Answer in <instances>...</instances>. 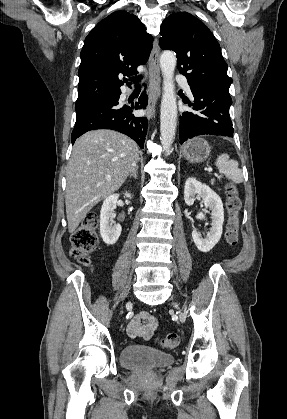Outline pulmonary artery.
Instances as JSON below:
<instances>
[{"label": "pulmonary artery", "instance_id": "1", "mask_svg": "<svg viewBox=\"0 0 287 419\" xmlns=\"http://www.w3.org/2000/svg\"><path fill=\"white\" fill-rule=\"evenodd\" d=\"M176 82L178 84H180L189 95L192 96L190 86H189L188 81L185 77H183L179 74L176 75Z\"/></svg>", "mask_w": 287, "mask_h": 419}]
</instances>
